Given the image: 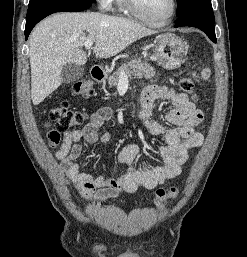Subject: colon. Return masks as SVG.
Masks as SVG:
<instances>
[{"label":"colon","mask_w":247,"mask_h":257,"mask_svg":"<svg viewBox=\"0 0 247 257\" xmlns=\"http://www.w3.org/2000/svg\"><path fill=\"white\" fill-rule=\"evenodd\" d=\"M179 85L182 91L195 96L194 83L191 78L188 76L183 77ZM72 93L85 99L91 98L94 94L93 85L89 80H79L73 84ZM50 119L55 123V127L48 130L47 140L52 147H55L60 142L61 130H74L80 127L87 120V114L71 110L68 101L63 100L51 110ZM177 196L178 190L175 187L167 190L159 189L156 192L154 202H164L169 199H175Z\"/></svg>","instance_id":"1"}]
</instances>
